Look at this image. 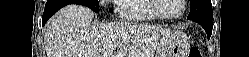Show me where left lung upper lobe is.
Here are the masks:
<instances>
[{
  "mask_svg": "<svg viewBox=\"0 0 249 57\" xmlns=\"http://www.w3.org/2000/svg\"><path fill=\"white\" fill-rule=\"evenodd\" d=\"M190 8L187 19L213 18L211 0H190Z\"/></svg>",
  "mask_w": 249,
  "mask_h": 57,
  "instance_id": "left-lung-upper-lobe-1",
  "label": "left lung upper lobe"
}]
</instances>
